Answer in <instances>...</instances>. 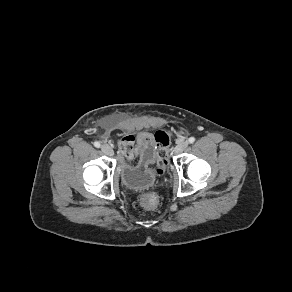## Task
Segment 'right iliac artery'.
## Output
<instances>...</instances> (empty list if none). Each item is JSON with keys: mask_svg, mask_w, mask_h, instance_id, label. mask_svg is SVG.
<instances>
[{"mask_svg": "<svg viewBox=\"0 0 292 292\" xmlns=\"http://www.w3.org/2000/svg\"><path fill=\"white\" fill-rule=\"evenodd\" d=\"M94 146L97 147V148H99L100 147V143L98 141H95L94 142Z\"/></svg>", "mask_w": 292, "mask_h": 292, "instance_id": "obj_1", "label": "right iliac artery"}]
</instances>
